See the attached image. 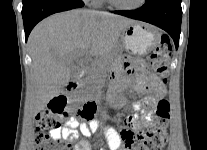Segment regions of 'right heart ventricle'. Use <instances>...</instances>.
Listing matches in <instances>:
<instances>
[{"mask_svg":"<svg viewBox=\"0 0 207 150\" xmlns=\"http://www.w3.org/2000/svg\"><path fill=\"white\" fill-rule=\"evenodd\" d=\"M105 0H95V4L96 5H100L104 2Z\"/></svg>","mask_w":207,"mask_h":150,"instance_id":"obj_1","label":"right heart ventricle"}]
</instances>
